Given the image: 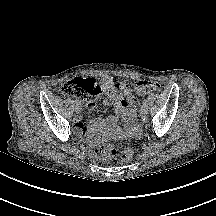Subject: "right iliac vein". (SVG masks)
<instances>
[{
	"mask_svg": "<svg viewBox=\"0 0 216 216\" xmlns=\"http://www.w3.org/2000/svg\"><path fill=\"white\" fill-rule=\"evenodd\" d=\"M81 110H82L81 105H80V106H76V105H75V111H76V113H80Z\"/></svg>",
	"mask_w": 216,
	"mask_h": 216,
	"instance_id": "63e3f726",
	"label": "right iliac vein"
}]
</instances>
